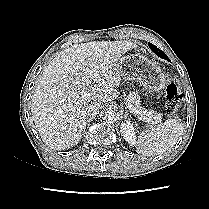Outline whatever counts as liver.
<instances>
[{"label": "liver", "mask_w": 209, "mask_h": 209, "mask_svg": "<svg viewBox=\"0 0 209 209\" xmlns=\"http://www.w3.org/2000/svg\"><path fill=\"white\" fill-rule=\"evenodd\" d=\"M136 48L131 41L75 44L54 57L39 78L32 97V119L42 141L51 149L76 145L88 122V107L118 97L123 55ZM92 82L89 99L78 90Z\"/></svg>", "instance_id": "obj_1"}]
</instances>
